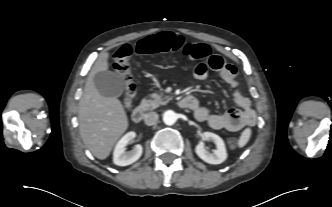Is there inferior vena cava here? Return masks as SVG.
<instances>
[{"label": "inferior vena cava", "instance_id": "obj_1", "mask_svg": "<svg viewBox=\"0 0 332 207\" xmlns=\"http://www.w3.org/2000/svg\"><path fill=\"white\" fill-rule=\"evenodd\" d=\"M158 118H159V116L156 112H150L145 115L144 122L146 125L151 126L157 122Z\"/></svg>", "mask_w": 332, "mask_h": 207}]
</instances>
